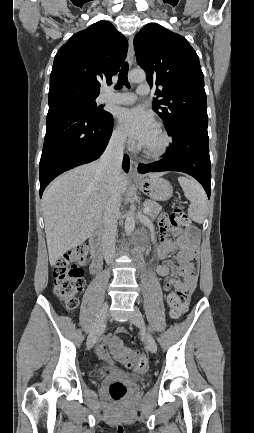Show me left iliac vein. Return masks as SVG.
<instances>
[{"mask_svg": "<svg viewBox=\"0 0 254 433\" xmlns=\"http://www.w3.org/2000/svg\"><path fill=\"white\" fill-rule=\"evenodd\" d=\"M130 319H131V322L135 326L141 328L145 332L146 346L151 353H155L157 351L156 341H155L154 337L152 336V334L146 329V325H145L143 316H142L138 307H134V311L131 314Z\"/></svg>", "mask_w": 254, "mask_h": 433, "instance_id": "left-iliac-vein-1", "label": "left iliac vein"}]
</instances>
